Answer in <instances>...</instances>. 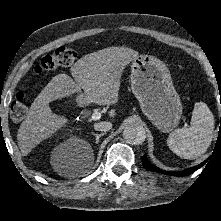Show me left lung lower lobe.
I'll return each mask as SVG.
<instances>
[{"label":"left lung lower lobe","instance_id":"obj_1","mask_svg":"<svg viewBox=\"0 0 221 221\" xmlns=\"http://www.w3.org/2000/svg\"><path fill=\"white\" fill-rule=\"evenodd\" d=\"M142 163H143V166L147 169H149L150 171H153V172H160V173H163V174H167V175H173V176H187L189 174H192L194 173L197 169H199L200 167H202L204 165L205 162L201 163L200 165L196 166V167H192V168H188L184 171H179V172H168V171H164V170H161L159 169L158 167L154 166L153 164H151L147 158H146V155H144L142 157Z\"/></svg>","mask_w":221,"mask_h":221}]
</instances>
